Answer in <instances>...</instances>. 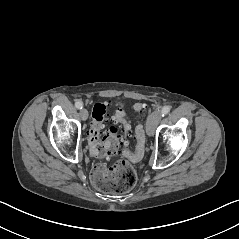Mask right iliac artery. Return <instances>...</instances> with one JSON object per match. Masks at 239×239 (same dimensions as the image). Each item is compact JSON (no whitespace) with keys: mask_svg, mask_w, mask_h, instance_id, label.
<instances>
[{"mask_svg":"<svg viewBox=\"0 0 239 239\" xmlns=\"http://www.w3.org/2000/svg\"><path fill=\"white\" fill-rule=\"evenodd\" d=\"M75 107H76L77 109H82V108H83L82 102L77 101V102L75 103Z\"/></svg>","mask_w":239,"mask_h":239,"instance_id":"right-iliac-artery-1","label":"right iliac artery"}]
</instances>
